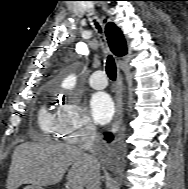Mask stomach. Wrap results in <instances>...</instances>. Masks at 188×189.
I'll return each instance as SVG.
<instances>
[{
	"label": "stomach",
	"mask_w": 188,
	"mask_h": 189,
	"mask_svg": "<svg viewBox=\"0 0 188 189\" xmlns=\"http://www.w3.org/2000/svg\"><path fill=\"white\" fill-rule=\"evenodd\" d=\"M23 189H38V188L36 186L29 185V186L24 187Z\"/></svg>",
	"instance_id": "stomach-1"
}]
</instances>
